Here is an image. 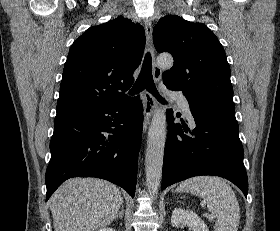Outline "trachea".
<instances>
[{"label":"trachea","instance_id":"3493384b","mask_svg":"<svg viewBox=\"0 0 280 231\" xmlns=\"http://www.w3.org/2000/svg\"><path fill=\"white\" fill-rule=\"evenodd\" d=\"M144 89L148 90V92L154 95V97H156L160 102L165 103V100L158 94V91L153 81L150 54H147L145 56L142 71L130 93L142 92V90Z\"/></svg>","mask_w":280,"mask_h":231}]
</instances>
